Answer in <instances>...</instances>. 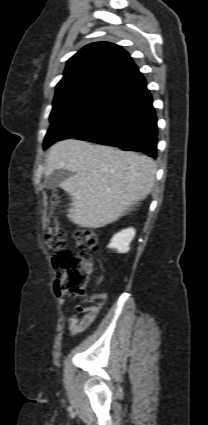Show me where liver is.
Listing matches in <instances>:
<instances>
[{
	"label": "liver",
	"instance_id": "1",
	"mask_svg": "<svg viewBox=\"0 0 208 425\" xmlns=\"http://www.w3.org/2000/svg\"><path fill=\"white\" fill-rule=\"evenodd\" d=\"M75 173L60 187L72 197L67 217L83 228H100L118 220L151 192L156 174L152 158L76 139L55 143L45 175Z\"/></svg>",
	"mask_w": 208,
	"mask_h": 425
}]
</instances>
